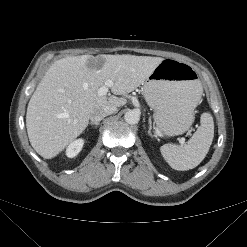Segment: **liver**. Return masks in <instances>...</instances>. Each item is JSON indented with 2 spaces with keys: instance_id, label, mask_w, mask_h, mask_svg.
<instances>
[{
  "instance_id": "liver-1",
  "label": "liver",
  "mask_w": 247,
  "mask_h": 247,
  "mask_svg": "<svg viewBox=\"0 0 247 247\" xmlns=\"http://www.w3.org/2000/svg\"><path fill=\"white\" fill-rule=\"evenodd\" d=\"M163 58L135 55H81L55 61L30 98L26 113L29 141L45 159L62 152L86 129L95 110L121 107L123 97L147 80ZM111 80L114 95L98 94Z\"/></svg>"
}]
</instances>
